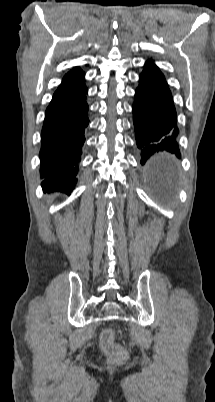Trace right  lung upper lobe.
I'll use <instances>...</instances> for the list:
<instances>
[{
  "mask_svg": "<svg viewBox=\"0 0 215 402\" xmlns=\"http://www.w3.org/2000/svg\"><path fill=\"white\" fill-rule=\"evenodd\" d=\"M84 76L85 73L79 67H74L68 73H66V75L63 77L62 83L59 85L56 91L64 90L66 88L73 86L74 84L79 82Z\"/></svg>",
  "mask_w": 215,
  "mask_h": 402,
  "instance_id": "cb5924a9",
  "label": "right lung upper lobe"
}]
</instances>
